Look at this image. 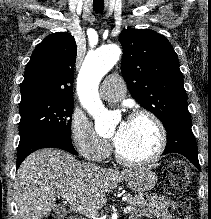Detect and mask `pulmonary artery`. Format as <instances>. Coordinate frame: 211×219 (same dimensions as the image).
<instances>
[{"instance_id": "e3ab8cb5", "label": "pulmonary artery", "mask_w": 211, "mask_h": 219, "mask_svg": "<svg viewBox=\"0 0 211 219\" xmlns=\"http://www.w3.org/2000/svg\"><path fill=\"white\" fill-rule=\"evenodd\" d=\"M126 93L125 83L119 74L109 75L102 83L101 96L108 101H118Z\"/></svg>"}]
</instances>
